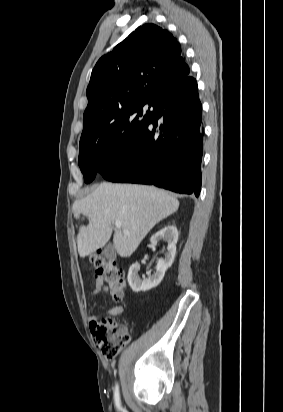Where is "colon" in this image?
<instances>
[{"mask_svg": "<svg viewBox=\"0 0 283 412\" xmlns=\"http://www.w3.org/2000/svg\"><path fill=\"white\" fill-rule=\"evenodd\" d=\"M96 275L109 285L113 297L121 300L125 285V275L115 262L98 252L92 256ZM93 341L106 358H114L129 342V335L116 319L105 317L90 325Z\"/></svg>", "mask_w": 283, "mask_h": 412, "instance_id": "1", "label": "colon"}]
</instances>
